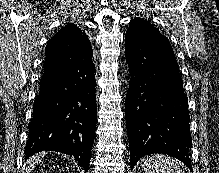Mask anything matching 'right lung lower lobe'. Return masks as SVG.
I'll use <instances>...</instances> for the list:
<instances>
[{
  "label": "right lung lower lobe",
  "instance_id": "1",
  "mask_svg": "<svg viewBox=\"0 0 219 173\" xmlns=\"http://www.w3.org/2000/svg\"><path fill=\"white\" fill-rule=\"evenodd\" d=\"M92 55L72 57L62 66L45 60L26 159L39 151H58L74 156L88 170L97 119Z\"/></svg>",
  "mask_w": 219,
  "mask_h": 173
}]
</instances>
